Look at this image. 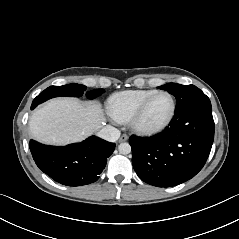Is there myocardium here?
<instances>
[{"mask_svg": "<svg viewBox=\"0 0 239 239\" xmlns=\"http://www.w3.org/2000/svg\"><path fill=\"white\" fill-rule=\"evenodd\" d=\"M159 95H166L171 100V112L169 116L160 124L155 126H147L142 124L141 118L143 116V113L145 109L147 108L148 104L157 96ZM176 100L174 96L167 92V91H156L155 93L148 96L146 99H144L139 106L136 108V110L133 112L132 116L129 119V124L132 130H134L136 133L141 135H154L157 133L162 132L164 129H166L170 123L173 121L175 114H176Z\"/></svg>", "mask_w": 239, "mask_h": 239, "instance_id": "obj_1", "label": "myocardium"}]
</instances>
